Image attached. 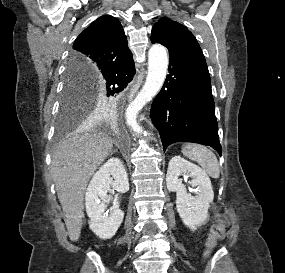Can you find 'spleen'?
Instances as JSON below:
<instances>
[{
  "mask_svg": "<svg viewBox=\"0 0 285 273\" xmlns=\"http://www.w3.org/2000/svg\"><path fill=\"white\" fill-rule=\"evenodd\" d=\"M182 153L192 161L197 162L212 178H219V163L215 154L199 144H186L182 148Z\"/></svg>",
  "mask_w": 285,
  "mask_h": 273,
  "instance_id": "obj_1",
  "label": "spleen"
}]
</instances>
